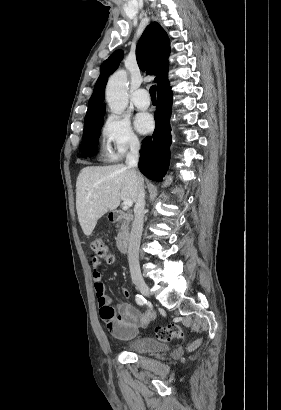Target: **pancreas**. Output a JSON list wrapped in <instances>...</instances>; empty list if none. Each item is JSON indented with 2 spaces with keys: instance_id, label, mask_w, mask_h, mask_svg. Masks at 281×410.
<instances>
[{
  "instance_id": "1",
  "label": "pancreas",
  "mask_w": 281,
  "mask_h": 410,
  "mask_svg": "<svg viewBox=\"0 0 281 410\" xmlns=\"http://www.w3.org/2000/svg\"><path fill=\"white\" fill-rule=\"evenodd\" d=\"M130 221H131V215L122 213L120 215V228L118 230V236H117V244L121 245L123 241L127 238L129 229H130Z\"/></svg>"
}]
</instances>
